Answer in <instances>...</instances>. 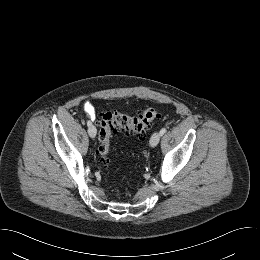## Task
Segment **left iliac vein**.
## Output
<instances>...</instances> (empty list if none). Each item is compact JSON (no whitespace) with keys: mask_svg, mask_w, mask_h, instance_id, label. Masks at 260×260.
<instances>
[{"mask_svg":"<svg viewBox=\"0 0 260 260\" xmlns=\"http://www.w3.org/2000/svg\"><path fill=\"white\" fill-rule=\"evenodd\" d=\"M160 138H161L160 133H158V132L154 133V134L151 136V138H150V146H151V147L157 146V144H158L159 141H160Z\"/></svg>","mask_w":260,"mask_h":260,"instance_id":"4c4485c4","label":"left iliac vein"}]
</instances>
